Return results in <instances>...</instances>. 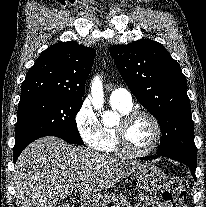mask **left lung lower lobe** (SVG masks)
I'll list each match as a JSON object with an SVG mask.
<instances>
[{"label":"left lung lower lobe","mask_w":206,"mask_h":207,"mask_svg":"<svg viewBox=\"0 0 206 207\" xmlns=\"http://www.w3.org/2000/svg\"><path fill=\"white\" fill-rule=\"evenodd\" d=\"M158 156L171 158L173 160H176V161H179V162L186 164L190 168L193 178L196 180L195 171H196V166H197V157H187V156H183V155H172V154L158 155Z\"/></svg>","instance_id":"obj_1"}]
</instances>
